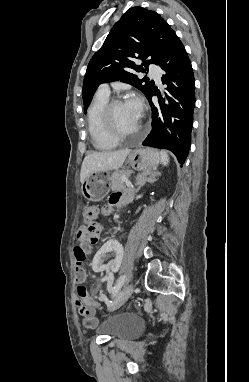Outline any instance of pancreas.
<instances>
[{"label":"pancreas","mask_w":249,"mask_h":382,"mask_svg":"<svg viewBox=\"0 0 249 382\" xmlns=\"http://www.w3.org/2000/svg\"><path fill=\"white\" fill-rule=\"evenodd\" d=\"M131 174L130 171L128 170H117L115 171L111 178H110V188L112 190H118V189H123L125 186H124V182L121 180L122 177H125V176H129Z\"/></svg>","instance_id":"obj_1"}]
</instances>
